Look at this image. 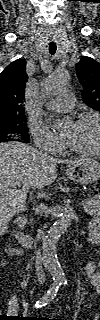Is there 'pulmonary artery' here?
Returning <instances> with one entry per match:
<instances>
[{"mask_svg": "<svg viewBox=\"0 0 100 320\" xmlns=\"http://www.w3.org/2000/svg\"><path fill=\"white\" fill-rule=\"evenodd\" d=\"M74 98L69 89L60 91L59 97L48 103V106L58 112H67L72 109Z\"/></svg>", "mask_w": 100, "mask_h": 320, "instance_id": "obj_1", "label": "pulmonary artery"}]
</instances>
